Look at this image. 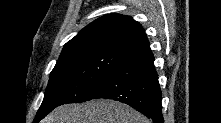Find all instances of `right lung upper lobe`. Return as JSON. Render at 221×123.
<instances>
[{"instance_id": "obj_1", "label": "right lung upper lobe", "mask_w": 221, "mask_h": 123, "mask_svg": "<svg viewBox=\"0 0 221 123\" xmlns=\"http://www.w3.org/2000/svg\"><path fill=\"white\" fill-rule=\"evenodd\" d=\"M86 49H107L129 57L150 50L142 26L130 16L105 15L82 29L68 41L61 56Z\"/></svg>"}]
</instances>
